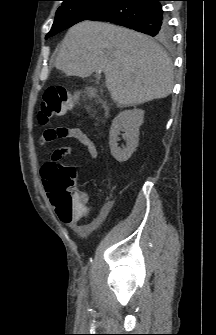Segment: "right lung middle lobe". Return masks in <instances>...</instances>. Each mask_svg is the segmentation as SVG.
Instances as JSON below:
<instances>
[{
    "instance_id": "dd1d6c3e",
    "label": "right lung middle lobe",
    "mask_w": 216,
    "mask_h": 335,
    "mask_svg": "<svg viewBox=\"0 0 216 335\" xmlns=\"http://www.w3.org/2000/svg\"><path fill=\"white\" fill-rule=\"evenodd\" d=\"M62 5L56 12L51 31L46 39L73 26L74 24L91 19L94 15L108 7L116 0H62ZM170 37L169 28L158 36L157 40H167Z\"/></svg>"
}]
</instances>
